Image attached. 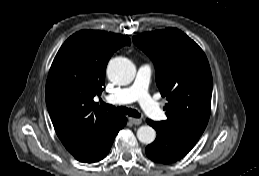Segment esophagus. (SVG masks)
Instances as JSON below:
<instances>
[{"label":"esophagus","mask_w":259,"mask_h":176,"mask_svg":"<svg viewBox=\"0 0 259 176\" xmlns=\"http://www.w3.org/2000/svg\"><path fill=\"white\" fill-rule=\"evenodd\" d=\"M130 123L133 125H140L142 123V120L139 118L130 117L129 118Z\"/></svg>","instance_id":"obj_1"}]
</instances>
